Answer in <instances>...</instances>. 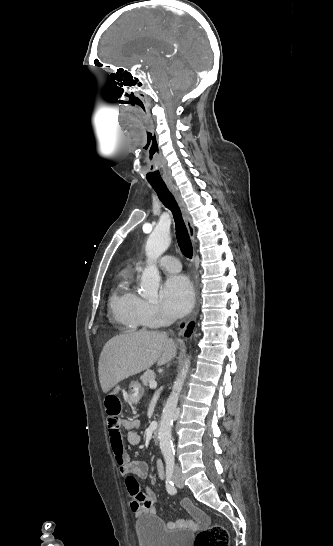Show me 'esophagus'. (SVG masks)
<instances>
[{
  "instance_id": "esophagus-1",
  "label": "esophagus",
  "mask_w": 333,
  "mask_h": 546,
  "mask_svg": "<svg viewBox=\"0 0 333 546\" xmlns=\"http://www.w3.org/2000/svg\"><path fill=\"white\" fill-rule=\"evenodd\" d=\"M169 189L173 193V195H174V197H175V199H176V201H177V203H178V205H179V207H180V209L182 211V215H183L184 221L186 223L188 233H189L190 237L192 239H194L195 230H194L190 215L188 213V210L186 208V205L183 202V200H182L181 196L179 195L178 191L175 189V187L173 185H169ZM197 308H198V304H196L195 309L193 311V314H192L193 318L197 315Z\"/></svg>"
}]
</instances>
